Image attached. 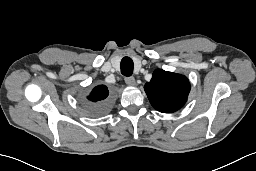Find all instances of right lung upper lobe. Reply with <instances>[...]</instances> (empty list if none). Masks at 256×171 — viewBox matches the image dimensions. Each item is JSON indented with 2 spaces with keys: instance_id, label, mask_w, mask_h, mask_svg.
Masks as SVG:
<instances>
[{
  "instance_id": "obj_1",
  "label": "right lung upper lobe",
  "mask_w": 256,
  "mask_h": 171,
  "mask_svg": "<svg viewBox=\"0 0 256 171\" xmlns=\"http://www.w3.org/2000/svg\"><path fill=\"white\" fill-rule=\"evenodd\" d=\"M109 91L105 85L96 86L88 96L90 103L97 104L107 99Z\"/></svg>"
}]
</instances>
